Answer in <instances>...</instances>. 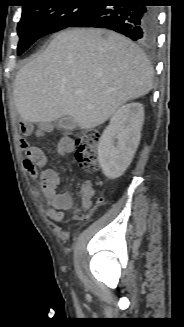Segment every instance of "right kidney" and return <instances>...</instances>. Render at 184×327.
<instances>
[{
  "label": "right kidney",
  "mask_w": 184,
  "mask_h": 327,
  "mask_svg": "<svg viewBox=\"0 0 184 327\" xmlns=\"http://www.w3.org/2000/svg\"><path fill=\"white\" fill-rule=\"evenodd\" d=\"M144 108L133 102L121 106L111 117L98 145V161L108 178L121 176L130 165L141 138Z\"/></svg>",
  "instance_id": "1"
}]
</instances>
